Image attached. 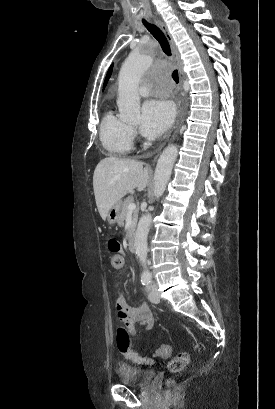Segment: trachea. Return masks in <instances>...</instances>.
I'll use <instances>...</instances> for the list:
<instances>
[{
	"label": "trachea",
	"instance_id": "1",
	"mask_svg": "<svg viewBox=\"0 0 275 409\" xmlns=\"http://www.w3.org/2000/svg\"><path fill=\"white\" fill-rule=\"evenodd\" d=\"M142 23L148 29V31L153 35V37H155L156 40H158L159 44L161 45V48H162L163 52L166 55L171 56L170 44H169L166 36L162 32V30H160V28H158L156 25H153V24L147 22L146 20H142ZM172 77H173V79L175 80L176 83L179 82V74H178L177 70L173 71Z\"/></svg>",
	"mask_w": 275,
	"mask_h": 409
}]
</instances>
